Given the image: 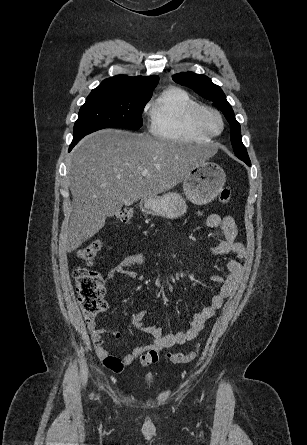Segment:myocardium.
I'll list each match as a JSON object with an SVG mask.
<instances>
[{"instance_id":"obj_1","label":"myocardium","mask_w":307,"mask_h":445,"mask_svg":"<svg viewBox=\"0 0 307 445\" xmlns=\"http://www.w3.org/2000/svg\"><path fill=\"white\" fill-rule=\"evenodd\" d=\"M214 119H219L222 123V130L220 132H216L213 128V120ZM202 124H203V127H204L206 133L208 135L214 136V137L221 135L225 131V128H226V120H225L223 114L220 111L213 109V108H209L203 112Z\"/></svg>"}]
</instances>
